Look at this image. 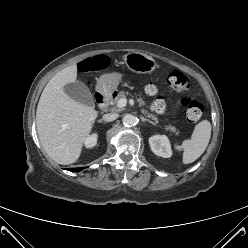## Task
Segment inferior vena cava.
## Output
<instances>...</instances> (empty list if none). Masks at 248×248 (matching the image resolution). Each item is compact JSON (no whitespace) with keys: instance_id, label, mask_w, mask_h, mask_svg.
Instances as JSON below:
<instances>
[{"instance_id":"602c4592","label":"inferior vena cava","mask_w":248,"mask_h":248,"mask_svg":"<svg viewBox=\"0 0 248 248\" xmlns=\"http://www.w3.org/2000/svg\"><path fill=\"white\" fill-rule=\"evenodd\" d=\"M102 118L106 122H111V121H114V120H116L118 118V114H116V113H109V114L103 115Z\"/></svg>"}]
</instances>
